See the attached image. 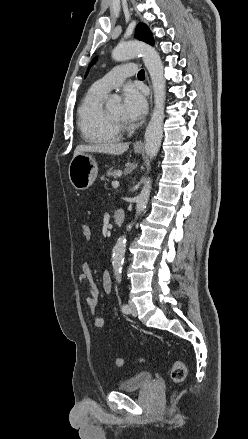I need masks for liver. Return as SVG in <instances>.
Wrapping results in <instances>:
<instances>
[{
    "label": "liver",
    "instance_id": "6515ba94",
    "mask_svg": "<svg viewBox=\"0 0 248 439\" xmlns=\"http://www.w3.org/2000/svg\"><path fill=\"white\" fill-rule=\"evenodd\" d=\"M129 148V143L108 142L95 145H77L74 156L80 153L97 152L110 155H121Z\"/></svg>",
    "mask_w": 248,
    "mask_h": 439
}]
</instances>
